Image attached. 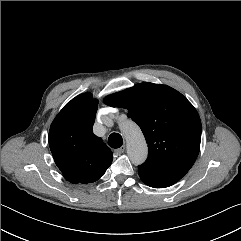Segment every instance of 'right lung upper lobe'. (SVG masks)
<instances>
[{
    "label": "right lung upper lobe",
    "instance_id": "right-lung-upper-lobe-1",
    "mask_svg": "<svg viewBox=\"0 0 241 241\" xmlns=\"http://www.w3.org/2000/svg\"><path fill=\"white\" fill-rule=\"evenodd\" d=\"M97 101L83 93L72 99L51 124L48 141L54 161L73 183H92L111 165L113 154L93 133Z\"/></svg>",
    "mask_w": 241,
    "mask_h": 241
}]
</instances>
